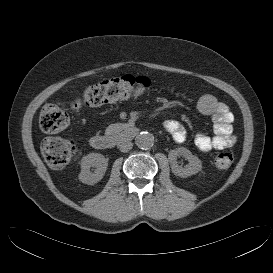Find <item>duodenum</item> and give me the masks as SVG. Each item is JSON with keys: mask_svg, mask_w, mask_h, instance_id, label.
Wrapping results in <instances>:
<instances>
[{"mask_svg": "<svg viewBox=\"0 0 273 273\" xmlns=\"http://www.w3.org/2000/svg\"><path fill=\"white\" fill-rule=\"evenodd\" d=\"M137 127L132 124H122L116 132L106 135H94L90 138V146L97 150H106L113 148L118 142L135 136Z\"/></svg>", "mask_w": 273, "mask_h": 273, "instance_id": "obj_1", "label": "duodenum"}]
</instances>
